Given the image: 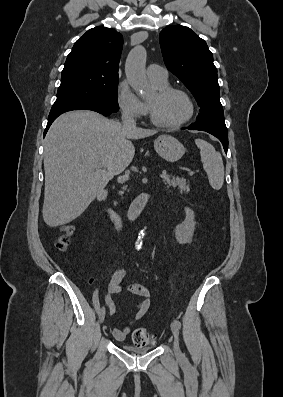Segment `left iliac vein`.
<instances>
[{
	"label": "left iliac vein",
	"instance_id": "left-iliac-vein-1",
	"mask_svg": "<svg viewBox=\"0 0 283 397\" xmlns=\"http://www.w3.org/2000/svg\"><path fill=\"white\" fill-rule=\"evenodd\" d=\"M171 330L174 335V351L177 357H181L182 353L179 346V328L177 327L175 321L171 323Z\"/></svg>",
	"mask_w": 283,
	"mask_h": 397
}]
</instances>
